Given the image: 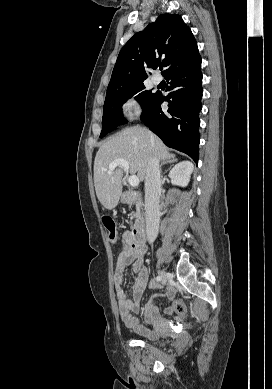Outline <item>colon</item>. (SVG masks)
<instances>
[{"mask_svg":"<svg viewBox=\"0 0 272 389\" xmlns=\"http://www.w3.org/2000/svg\"><path fill=\"white\" fill-rule=\"evenodd\" d=\"M103 224L107 230L108 238L111 242H115L117 240V226L114 219L110 216H105L103 218ZM173 310L176 314L181 317L187 316V307L181 300H175L173 303Z\"/></svg>","mask_w":272,"mask_h":389,"instance_id":"obj_1","label":"colon"}]
</instances>
